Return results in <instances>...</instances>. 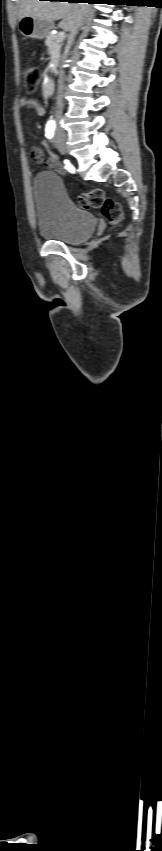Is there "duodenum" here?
<instances>
[{
    "label": "duodenum",
    "instance_id": "obj_1",
    "mask_svg": "<svg viewBox=\"0 0 162 851\" xmlns=\"http://www.w3.org/2000/svg\"><path fill=\"white\" fill-rule=\"evenodd\" d=\"M42 92L46 96H50L54 92V81L51 78H47L42 84Z\"/></svg>",
    "mask_w": 162,
    "mask_h": 851
}]
</instances>
